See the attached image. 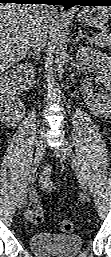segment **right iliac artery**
I'll return each instance as SVG.
<instances>
[{"mask_svg": "<svg viewBox=\"0 0 111 257\" xmlns=\"http://www.w3.org/2000/svg\"><path fill=\"white\" fill-rule=\"evenodd\" d=\"M30 180H28L25 184H24V186H23V188H22V194H21V196H27V193H28V191H29V189H30Z\"/></svg>", "mask_w": 111, "mask_h": 257, "instance_id": "82829eb1", "label": "right iliac artery"}]
</instances>
